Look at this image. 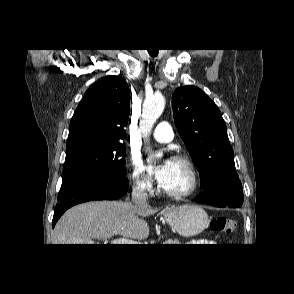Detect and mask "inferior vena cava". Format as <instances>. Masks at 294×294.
<instances>
[{
	"label": "inferior vena cava",
	"mask_w": 294,
	"mask_h": 294,
	"mask_svg": "<svg viewBox=\"0 0 294 294\" xmlns=\"http://www.w3.org/2000/svg\"><path fill=\"white\" fill-rule=\"evenodd\" d=\"M145 184L136 182L132 191V201L139 206H147L148 194L145 190Z\"/></svg>",
	"instance_id": "inferior-vena-cava-1"
}]
</instances>
